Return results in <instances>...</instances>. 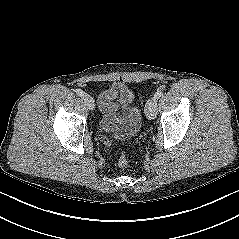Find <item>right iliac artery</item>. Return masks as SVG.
Returning <instances> with one entry per match:
<instances>
[{
	"label": "right iliac artery",
	"mask_w": 239,
	"mask_h": 239,
	"mask_svg": "<svg viewBox=\"0 0 239 239\" xmlns=\"http://www.w3.org/2000/svg\"><path fill=\"white\" fill-rule=\"evenodd\" d=\"M75 92L79 96H83L84 95V92L81 89H76Z\"/></svg>",
	"instance_id": "1"
}]
</instances>
